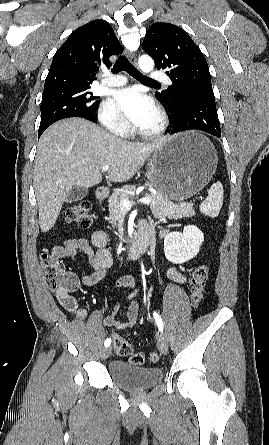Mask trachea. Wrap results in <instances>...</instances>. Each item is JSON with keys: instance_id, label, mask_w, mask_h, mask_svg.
<instances>
[{"instance_id": "3493384b", "label": "trachea", "mask_w": 269, "mask_h": 445, "mask_svg": "<svg viewBox=\"0 0 269 445\" xmlns=\"http://www.w3.org/2000/svg\"><path fill=\"white\" fill-rule=\"evenodd\" d=\"M123 70L139 81L147 83H158L157 81H154L140 73L125 56H119L113 66L112 72L119 73Z\"/></svg>"}]
</instances>
